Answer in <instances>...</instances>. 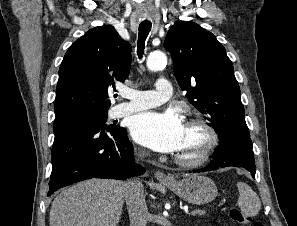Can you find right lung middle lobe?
<instances>
[{"instance_id":"obj_1","label":"right lung middle lobe","mask_w":297,"mask_h":226,"mask_svg":"<svg viewBox=\"0 0 297 226\" xmlns=\"http://www.w3.org/2000/svg\"><path fill=\"white\" fill-rule=\"evenodd\" d=\"M83 114L92 122H95L97 125L106 128V129H115L118 126L116 125H109L107 126V110H91V111H83Z\"/></svg>"}]
</instances>
